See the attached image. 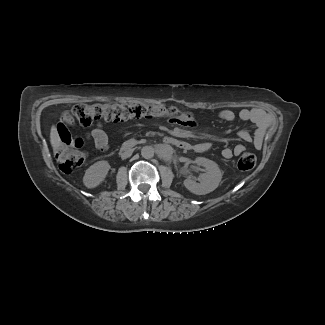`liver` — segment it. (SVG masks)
<instances>
[{
	"mask_svg": "<svg viewBox=\"0 0 325 325\" xmlns=\"http://www.w3.org/2000/svg\"><path fill=\"white\" fill-rule=\"evenodd\" d=\"M50 143L55 151H57L62 145L57 128L54 125L51 127L50 131Z\"/></svg>",
	"mask_w": 325,
	"mask_h": 325,
	"instance_id": "obj_1",
	"label": "liver"
}]
</instances>
